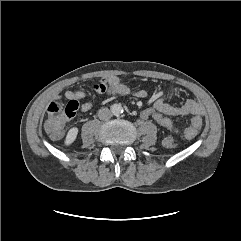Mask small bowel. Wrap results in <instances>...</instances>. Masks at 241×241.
<instances>
[{
    "label": "small bowel",
    "instance_id": "1",
    "mask_svg": "<svg viewBox=\"0 0 241 241\" xmlns=\"http://www.w3.org/2000/svg\"><path fill=\"white\" fill-rule=\"evenodd\" d=\"M106 90L105 92L111 96H127L129 94L134 95L137 98H145L148 93L146 90L140 89L132 92L129 87L118 77L110 76L104 81ZM173 95V86L168 85L162 95H157L152 98V107L142 111L141 116L144 119L151 117L153 112H160L168 117L177 116H194L199 117L203 115L204 108L196 100L188 99L181 106H175L170 103V99ZM86 96L84 91H72L68 90L65 92V97L71 100L82 99ZM93 104L90 102H84L80 106L82 112L90 111Z\"/></svg>",
    "mask_w": 241,
    "mask_h": 241
}]
</instances>
